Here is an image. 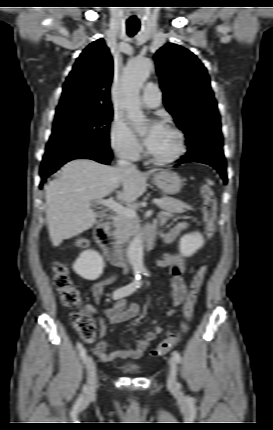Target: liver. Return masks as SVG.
Returning <instances> with one entry per match:
<instances>
[{
  "instance_id": "liver-1",
  "label": "liver",
  "mask_w": 273,
  "mask_h": 430,
  "mask_svg": "<svg viewBox=\"0 0 273 430\" xmlns=\"http://www.w3.org/2000/svg\"><path fill=\"white\" fill-rule=\"evenodd\" d=\"M156 171L159 169L143 173L81 158L66 163L46 188L47 224L53 245L59 246L93 227L97 215L90 208L92 200H101L122 184L117 199L133 203L146 191L147 179Z\"/></svg>"
}]
</instances>
